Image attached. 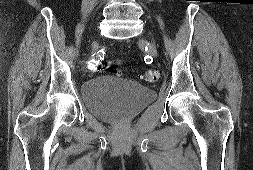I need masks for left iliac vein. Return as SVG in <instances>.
Here are the masks:
<instances>
[{
	"label": "left iliac vein",
	"instance_id": "1",
	"mask_svg": "<svg viewBox=\"0 0 253 170\" xmlns=\"http://www.w3.org/2000/svg\"><path fill=\"white\" fill-rule=\"evenodd\" d=\"M140 43H141L142 45L145 44V42H144L143 40L140 41ZM148 52H149L152 56L157 57V55H158V54H157V49H156V46H155L154 43L148 46Z\"/></svg>",
	"mask_w": 253,
	"mask_h": 170
}]
</instances>
